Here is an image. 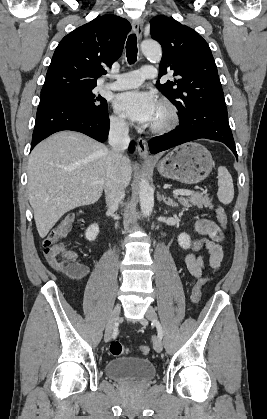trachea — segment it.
Instances as JSON below:
<instances>
[{"mask_svg": "<svg viewBox=\"0 0 267 419\" xmlns=\"http://www.w3.org/2000/svg\"><path fill=\"white\" fill-rule=\"evenodd\" d=\"M137 52V38L135 34H131L126 42V56L129 64L136 62Z\"/></svg>", "mask_w": 267, "mask_h": 419, "instance_id": "3493384b", "label": "trachea"}]
</instances>
